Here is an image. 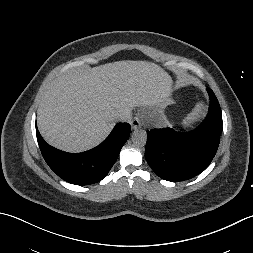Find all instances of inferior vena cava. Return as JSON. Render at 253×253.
Returning <instances> with one entry per match:
<instances>
[{"mask_svg":"<svg viewBox=\"0 0 253 253\" xmlns=\"http://www.w3.org/2000/svg\"><path fill=\"white\" fill-rule=\"evenodd\" d=\"M116 118L120 122H130L132 119L131 110H126L116 114Z\"/></svg>","mask_w":253,"mask_h":253,"instance_id":"1","label":"inferior vena cava"}]
</instances>
